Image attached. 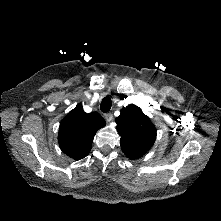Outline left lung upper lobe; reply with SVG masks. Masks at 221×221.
Instances as JSON below:
<instances>
[{"label": "left lung upper lobe", "instance_id": "left-lung-upper-lobe-1", "mask_svg": "<svg viewBox=\"0 0 221 221\" xmlns=\"http://www.w3.org/2000/svg\"><path fill=\"white\" fill-rule=\"evenodd\" d=\"M115 121L121 136V149L129 159L143 156L153 146L156 139L155 126L139 107L133 104L123 107Z\"/></svg>", "mask_w": 221, "mask_h": 221}]
</instances>
